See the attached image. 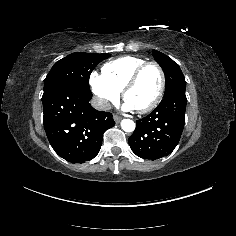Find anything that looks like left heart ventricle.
Masks as SVG:
<instances>
[{"instance_id": "b2bd125f", "label": "left heart ventricle", "mask_w": 236, "mask_h": 236, "mask_svg": "<svg viewBox=\"0 0 236 236\" xmlns=\"http://www.w3.org/2000/svg\"><path fill=\"white\" fill-rule=\"evenodd\" d=\"M160 84V74L153 67H147L138 78L136 84L128 91L126 102L134 109H141L155 98Z\"/></svg>"}]
</instances>
